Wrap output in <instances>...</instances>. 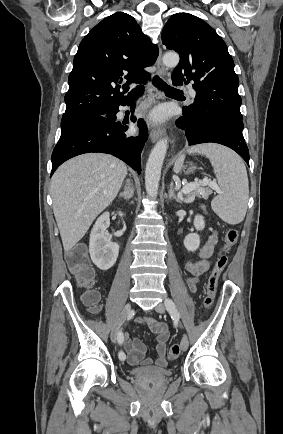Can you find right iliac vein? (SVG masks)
Here are the masks:
<instances>
[{"mask_svg": "<svg viewBox=\"0 0 283 434\" xmlns=\"http://www.w3.org/2000/svg\"><path fill=\"white\" fill-rule=\"evenodd\" d=\"M131 310H132L131 304L127 303L123 308L120 317L118 318V320L116 321L115 325L112 328L111 335H110L112 343L116 342L121 326L125 322L126 318L129 316V314L131 313Z\"/></svg>", "mask_w": 283, "mask_h": 434, "instance_id": "right-iliac-vein-1", "label": "right iliac vein"}]
</instances>
